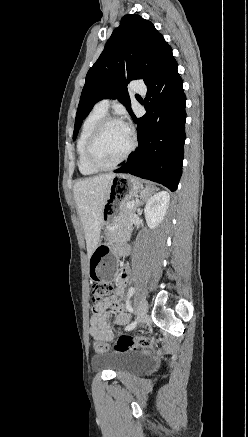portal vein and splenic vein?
Listing matches in <instances>:
<instances>
[{"mask_svg":"<svg viewBox=\"0 0 248 437\" xmlns=\"http://www.w3.org/2000/svg\"><path fill=\"white\" fill-rule=\"evenodd\" d=\"M133 205H134L133 202H129V203H127V206H128V207H131V206H133Z\"/></svg>","mask_w":248,"mask_h":437,"instance_id":"obj_1","label":"portal vein and splenic vein"}]
</instances>
